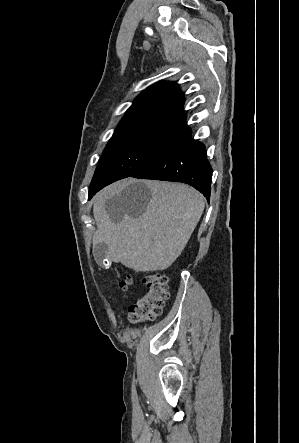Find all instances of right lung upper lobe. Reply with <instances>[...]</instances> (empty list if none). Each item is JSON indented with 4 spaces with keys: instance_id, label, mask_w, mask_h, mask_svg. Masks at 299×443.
Here are the masks:
<instances>
[{
    "instance_id": "cb5924a9",
    "label": "right lung upper lobe",
    "mask_w": 299,
    "mask_h": 443,
    "mask_svg": "<svg viewBox=\"0 0 299 443\" xmlns=\"http://www.w3.org/2000/svg\"><path fill=\"white\" fill-rule=\"evenodd\" d=\"M184 95L173 82H157L143 91L127 110L116 131L131 128L143 121L182 122Z\"/></svg>"
}]
</instances>
